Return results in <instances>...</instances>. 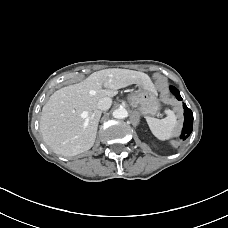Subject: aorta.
Masks as SVG:
<instances>
[{"label":"aorta","mask_w":228,"mask_h":228,"mask_svg":"<svg viewBox=\"0 0 228 228\" xmlns=\"http://www.w3.org/2000/svg\"><path fill=\"white\" fill-rule=\"evenodd\" d=\"M113 117L116 119H124L128 117V112L124 108H118L113 111Z\"/></svg>","instance_id":"762f6f07"}]
</instances>
